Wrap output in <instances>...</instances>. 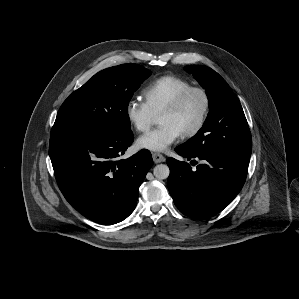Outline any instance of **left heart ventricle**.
I'll list each match as a JSON object with an SVG mask.
<instances>
[{"instance_id":"b2bd125f","label":"left heart ventricle","mask_w":299,"mask_h":299,"mask_svg":"<svg viewBox=\"0 0 299 299\" xmlns=\"http://www.w3.org/2000/svg\"><path fill=\"white\" fill-rule=\"evenodd\" d=\"M202 109L203 99L199 94L195 93L188 98L177 112L161 114L159 123L160 125L172 124L182 133L195 125L201 115Z\"/></svg>"}]
</instances>
